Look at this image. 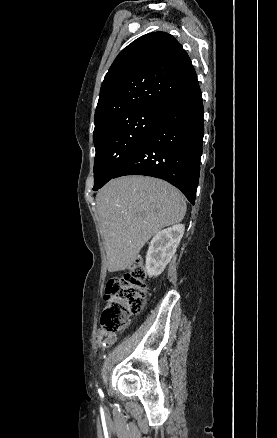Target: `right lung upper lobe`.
<instances>
[{
    "mask_svg": "<svg viewBox=\"0 0 277 438\" xmlns=\"http://www.w3.org/2000/svg\"><path fill=\"white\" fill-rule=\"evenodd\" d=\"M156 63L169 64L162 70ZM198 84L191 60L170 34L143 35L114 60L100 89L95 123L114 115L160 109L175 96Z\"/></svg>",
    "mask_w": 277,
    "mask_h": 438,
    "instance_id": "1",
    "label": "right lung upper lobe"
}]
</instances>
